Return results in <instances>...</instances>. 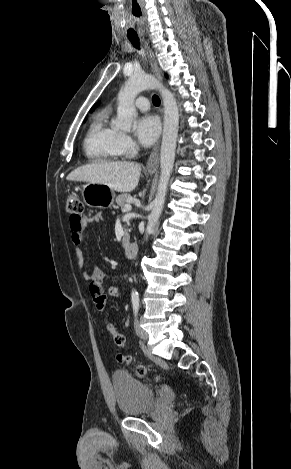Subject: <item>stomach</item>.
<instances>
[{
	"instance_id": "0dacf381",
	"label": "stomach",
	"mask_w": 291,
	"mask_h": 469,
	"mask_svg": "<svg viewBox=\"0 0 291 469\" xmlns=\"http://www.w3.org/2000/svg\"><path fill=\"white\" fill-rule=\"evenodd\" d=\"M155 170H149L154 173ZM82 196L84 202L94 208H107L112 206L115 199V192L105 184L88 183L83 186Z\"/></svg>"
}]
</instances>
